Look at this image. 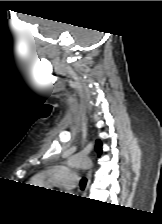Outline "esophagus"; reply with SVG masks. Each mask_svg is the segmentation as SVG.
Segmentation results:
<instances>
[{"label":"esophagus","instance_id":"obj_1","mask_svg":"<svg viewBox=\"0 0 162 224\" xmlns=\"http://www.w3.org/2000/svg\"><path fill=\"white\" fill-rule=\"evenodd\" d=\"M90 180H91V171H88V173H87V184H86L85 192H84L85 195H86L87 190H88V188H89Z\"/></svg>","mask_w":162,"mask_h":224}]
</instances>
